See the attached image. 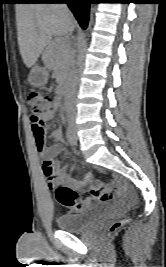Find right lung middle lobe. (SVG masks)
Here are the masks:
<instances>
[{
    "instance_id": "dd1d6c3e",
    "label": "right lung middle lobe",
    "mask_w": 166,
    "mask_h": 267,
    "mask_svg": "<svg viewBox=\"0 0 166 267\" xmlns=\"http://www.w3.org/2000/svg\"><path fill=\"white\" fill-rule=\"evenodd\" d=\"M19 1H28V0H19Z\"/></svg>"
}]
</instances>
